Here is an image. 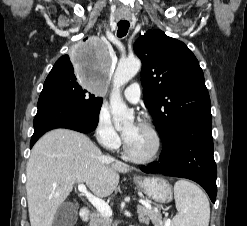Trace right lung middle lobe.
<instances>
[{
  "mask_svg": "<svg viewBox=\"0 0 247 226\" xmlns=\"http://www.w3.org/2000/svg\"><path fill=\"white\" fill-rule=\"evenodd\" d=\"M72 63L69 58L58 66H53L45 80L43 90L55 91L85 110L99 114L102 98L93 94L89 89H82V86H78V78H75Z\"/></svg>",
  "mask_w": 247,
  "mask_h": 226,
  "instance_id": "dd1d6c3e",
  "label": "right lung middle lobe"
}]
</instances>
